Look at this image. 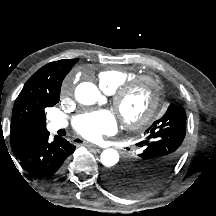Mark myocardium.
<instances>
[{"label":"myocardium","mask_w":216,"mask_h":216,"mask_svg":"<svg viewBox=\"0 0 216 216\" xmlns=\"http://www.w3.org/2000/svg\"><path fill=\"white\" fill-rule=\"evenodd\" d=\"M148 84L151 90V99L144 112L137 117H127L123 112V102L125 97L135 88L142 84ZM163 87L160 81L152 75L135 76L119 86L112 93V105L121 116L124 124L128 128H142L146 126L158 110Z\"/></svg>","instance_id":"obj_1"}]
</instances>
